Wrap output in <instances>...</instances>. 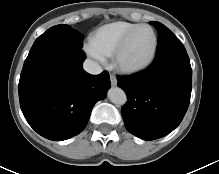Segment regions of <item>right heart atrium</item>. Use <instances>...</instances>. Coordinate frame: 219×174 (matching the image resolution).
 Listing matches in <instances>:
<instances>
[{"instance_id": "obj_1", "label": "right heart atrium", "mask_w": 219, "mask_h": 174, "mask_svg": "<svg viewBox=\"0 0 219 174\" xmlns=\"http://www.w3.org/2000/svg\"><path fill=\"white\" fill-rule=\"evenodd\" d=\"M85 53L97 62H105V56L99 52L91 43L84 45Z\"/></svg>"}]
</instances>
